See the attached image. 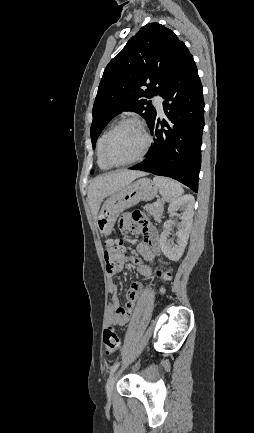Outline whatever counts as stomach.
Instances as JSON below:
<instances>
[{
	"label": "stomach",
	"instance_id": "0dacf381",
	"mask_svg": "<svg viewBox=\"0 0 254 433\" xmlns=\"http://www.w3.org/2000/svg\"><path fill=\"white\" fill-rule=\"evenodd\" d=\"M158 192L157 185L148 178H141L112 194L103 204L97 218V228L101 235L112 232L118 216L140 201L152 200Z\"/></svg>",
	"mask_w": 254,
	"mask_h": 433
}]
</instances>
